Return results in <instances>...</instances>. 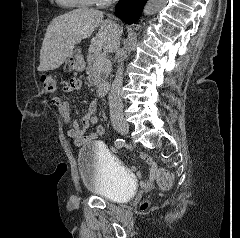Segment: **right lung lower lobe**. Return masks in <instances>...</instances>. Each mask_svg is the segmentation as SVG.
I'll use <instances>...</instances> for the list:
<instances>
[{
  "label": "right lung lower lobe",
  "mask_w": 240,
  "mask_h": 238,
  "mask_svg": "<svg viewBox=\"0 0 240 238\" xmlns=\"http://www.w3.org/2000/svg\"><path fill=\"white\" fill-rule=\"evenodd\" d=\"M147 0H120L115 7V15L128 24L135 23Z\"/></svg>",
  "instance_id": "1"
}]
</instances>
